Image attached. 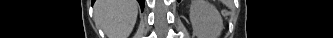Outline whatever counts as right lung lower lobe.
Listing matches in <instances>:
<instances>
[{"mask_svg":"<svg viewBox=\"0 0 333 38\" xmlns=\"http://www.w3.org/2000/svg\"><path fill=\"white\" fill-rule=\"evenodd\" d=\"M141 6V9L143 10L144 8V0H138ZM95 2V0H93V3Z\"/></svg>","mask_w":333,"mask_h":38,"instance_id":"1","label":"right lung lower lobe"}]
</instances>
